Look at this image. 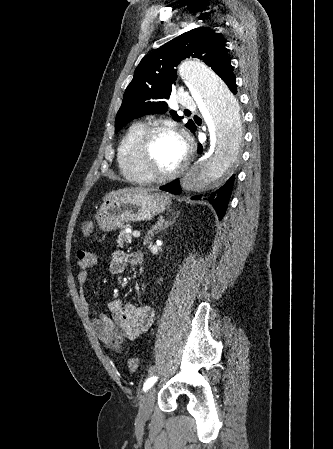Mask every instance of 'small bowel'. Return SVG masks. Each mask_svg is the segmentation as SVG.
<instances>
[{
  "label": "small bowel",
  "instance_id": "1",
  "mask_svg": "<svg viewBox=\"0 0 333 449\" xmlns=\"http://www.w3.org/2000/svg\"><path fill=\"white\" fill-rule=\"evenodd\" d=\"M78 272L76 281L79 287V298L83 308L90 313V303L86 296L88 270L98 264L96 255L87 251H79ZM138 261L135 253L115 251L109 262L111 274H121L128 265ZM109 313L99 312L92 320V326L98 337L114 352H121L127 343L134 341L146 332L152 324L155 311L148 305H135L116 299L108 303Z\"/></svg>",
  "mask_w": 333,
  "mask_h": 449
}]
</instances>
